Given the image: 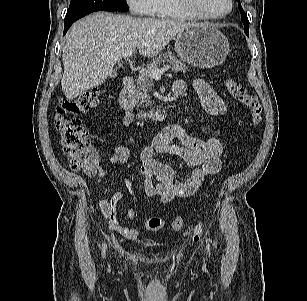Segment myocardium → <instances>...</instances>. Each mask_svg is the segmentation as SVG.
Here are the masks:
<instances>
[{"label": "myocardium", "mask_w": 307, "mask_h": 301, "mask_svg": "<svg viewBox=\"0 0 307 301\" xmlns=\"http://www.w3.org/2000/svg\"><path fill=\"white\" fill-rule=\"evenodd\" d=\"M174 1L178 5V7L182 9L184 12H186L187 14L191 15L196 19H202V20H217L224 18L232 12L235 5L234 0H229L230 5L227 11L220 14H212L200 9L196 5L195 0H174Z\"/></svg>", "instance_id": "1"}]
</instances>
